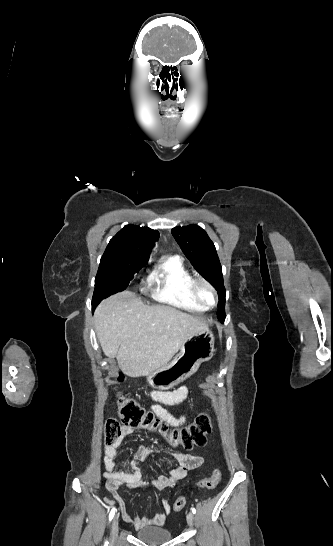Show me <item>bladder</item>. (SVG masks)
<instances>
[{
	"label": "bladder",
	"instance_id": "31cf9c89",
	"mask_svg": "<svg viewBox=\"0 0 333 546\" xmlns=\"http://www.w3.org/2000/svg\"><path fill=\"white\" fill-rule=\"evenodd\" d=\"M136 537L144 543L160 545L170 541L172 535L168 529L157 526H147L138 530L136 532Z\"/></svg>",
	"mask_w": 333,
	"mask_h": 546
}]
</instances>
